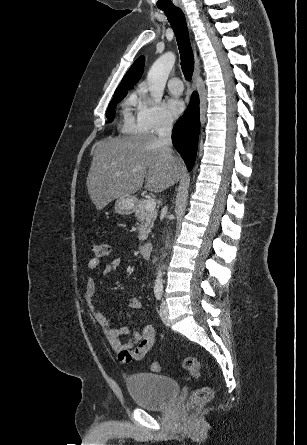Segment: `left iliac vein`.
<instances>
[{
  "mask_svg": "<svg viewBox=\"0 0 307 445\" xmlns=\"http://www.w3.org/2000/svg\"><path fill=\"white\" fill-rule=\"evenodd\" d=\"M160 317L162 322L168 326L169 325V311L167 303L163 300L160 306Z\"/></svg>",
  "mask_w": 307,
  "mask_h": 445,
  "instance_id": "4c4485c4",
  "label": "left iliac vein"
}]
</instances>
